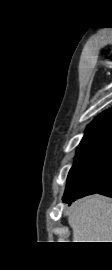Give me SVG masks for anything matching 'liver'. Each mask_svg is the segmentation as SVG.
<instances>
[{
	"instance_id": "6515ba94",
	"label": "liver",
	"mask_w": 112,
	"mask_h": 270,
	"mask_svg": "<svg viewBox=\"0 0 112 270\" xmlns=\"http://www.w3.org/2000/svg\"><path fill=\"white\" fill-rule=\"evenodd\" d=\"M73 242H112V203L99 195L77 202L68 217Z\"/></svg>"
}]
</instances>
